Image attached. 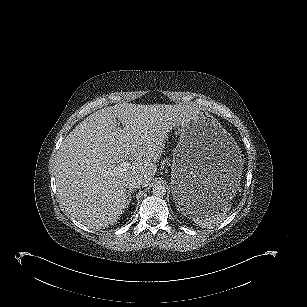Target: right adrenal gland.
<instances>
[{
	"mask_svg": "<svg viewBox=\"0 0 307 307\" xmlns=\"http://www.w3.org/2000/svg\"><path fill=\"white\" fill-rule=\"evenodd\" d=\"M134 192V190H131V191H129L128 192V201H127V207H128V205H129V203L131 202V200H132V193Z\"/></svg>",
	"mask_w": 307,
	"mask_h": 307,
	"instance_id": "right-adrenal-gland-1",
	"label": "right adrenal gland"
}]
</instances>
